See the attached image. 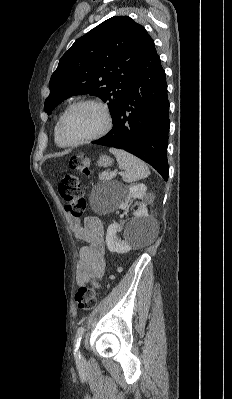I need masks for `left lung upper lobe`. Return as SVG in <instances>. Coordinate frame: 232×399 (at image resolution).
I'll return each mask as SVG.
<instances>
[{
  "label": "left lung upper lobe",
  "mask_w": 232,
  "mask_h": 399,
  "mask_svg": "<svg viewBox=\"0 0 232 399\" xmlns=\"http://www.w3.org/2000/svg\"><path fill=\"white\" fill-rule=\"evenodd\" d=\"M143 26L128 16L112 17L77 39L52 74L44 111L73 95L90 94L107 102L114 119L148 44Z\"/></svg>",
  "instance_id": "obj_1"
}]
</instances>
